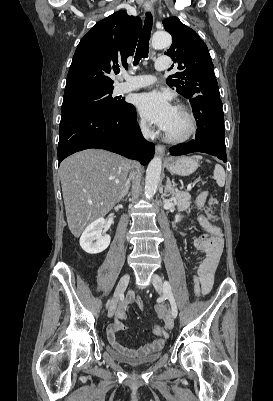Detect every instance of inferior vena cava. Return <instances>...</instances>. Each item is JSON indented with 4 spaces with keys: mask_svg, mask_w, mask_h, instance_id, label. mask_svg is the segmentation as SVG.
Segmentation results:
<instances>
[{
    "mask_svg": "<svg viewBox=\"0 0 273 401\" xmlns=\"http://www.w3.org/2000/svg\"><path fill=\"white\" fill-rule=\"evenodd\" d=\"M141 130L143 132V136H145V138H149V134H151V130H149V128H147V126H143V124H141Z\"/></svg>",
    "mask_w": 273,
    "mask_h": 401,
    "instance_id": "inferior-vena-cava-1",
    "label": "inferior vena cava"
}]
</instances>
